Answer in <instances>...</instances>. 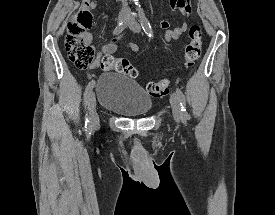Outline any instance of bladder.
Returning <instances> with one entry per match:
<instances>
[{
	"mask_svg": "<svg viewBox=\"0 0 275 215\" xmlns=\"http://www.w3.org/2000/svg\"><path fill=\"white\" fill-rule=\"evenodd\" d=\"M95 97L105 109L125 116H145L152 108L151 99L139 84L120 73H101L96 80Z\"/></svg>",
	"mask_w": 275,
	"mask_h": 215,
	"instance_id": "31cf9c89",
	"label": "bladder"
}]
</instances>
